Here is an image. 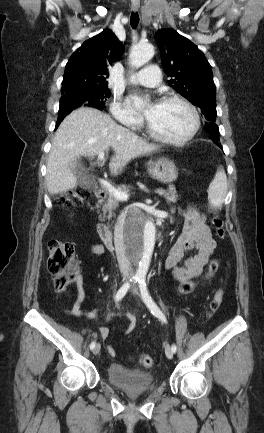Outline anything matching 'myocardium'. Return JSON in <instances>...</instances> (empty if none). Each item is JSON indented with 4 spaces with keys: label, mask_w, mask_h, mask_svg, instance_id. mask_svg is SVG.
<instances>
[{
    "label": "myocardium",
    "mask_w": 264,
    "mask_h": 433,
    "mask_svg": "<svg viewBox=\"0 0 264 433\" xmlns=\"http://www.w3.org/2000/svg\"><path fill=\"white\" fill-rule=\"evenodd\" d=\"M159 103H178L186 107L190 111L193 119L191 129L185 136L174 139L159 134L152 128L149 121H147L146 124L147 133L153 139L161 143H165L173 146H183L187 144L190 140H192L195 137V135L197 134L200 128V115L196 107L192 103H190L187 99L176 95L163 97Z\"/></svg>",
    "instance_id": "myocardium-1"
}]
</instances>
